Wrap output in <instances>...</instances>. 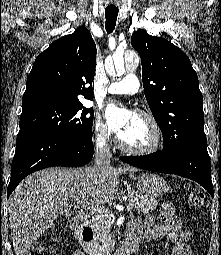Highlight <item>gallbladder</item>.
<instances>
[{
  "label": "gallbladder",
  "mask_w": 221,
  "mask_h": 255,
  "mask_svg": "<svg viewBox=\"0 0 221 255\" xmlns=\"http://www.w3.org/2000/svg\"><path fill=\"white\" fill-rule=\"evenodd\" d=\"M61 214H66V215H68L69 212H68V211H62Z\"/></svg>",
  "instance_id": "bac80fb5"
}]
</instances>
